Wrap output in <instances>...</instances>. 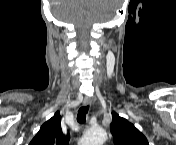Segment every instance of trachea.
Wrapping results in <instances>:
<instances>
[{"label":"trachea","instance_id":"obj_1","mask_svg":"<svg viewBox=\"0 0 176 145\" xmlns=\"http://www.w3.org/2000/svg\"><path fill=\"white\" fill-rule=\"evenodd\" d=\"M88 110H89V106L86 105V106H82L79 111H78V114H77V121L79 123H84L86 121V115L88 113Z\"/></svg>","mask_w":176,"mask_h":145}]
</instances>
